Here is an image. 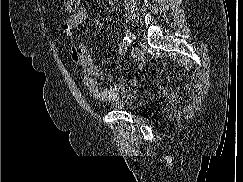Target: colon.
<instances>
[{
  "label": "colon",
  "mask_w": 243,
  "mask_h": 182,
  "mask_svg": "<svg viewBox=\"0 0 243 182\" xmlns=\"http://www.w3.org/2000/svg\"><path fill=\"white\" fill-rule=\"evenodd\" d=\"M64 9L68 13H76L79 9V0H65Z\"/></svg>",
  "instance_id": "obj_1"
}]
</instances>
